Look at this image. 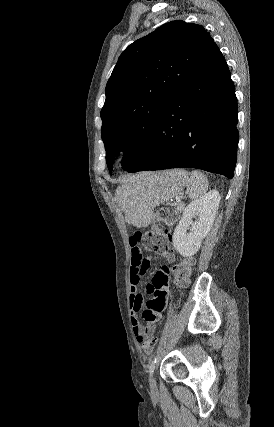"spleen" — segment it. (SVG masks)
Here are the masks:
<instances>
[{"instance_id":"obj_1","label":"spleen","mask_w":274,"mask_h":427,"mask_svg":"<svg viewBox=\"0 0 274 427\" xmlns=\"http://www.w3.org/2000/svg\"><path fill=\"white\" fill-rule=\"evenodd\" d=\"M207 190V178L201 172H190L189 178V198L190 200H198V198H202L204 194H206Z\"/></svg>"}]
</instances>
